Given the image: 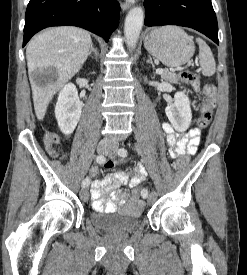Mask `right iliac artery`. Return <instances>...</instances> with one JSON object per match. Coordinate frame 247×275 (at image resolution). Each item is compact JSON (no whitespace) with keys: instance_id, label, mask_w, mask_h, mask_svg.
Listing matches in <instances>:
<instances>
[{"instance_id":"82829eb1","label":"right iliac artery","mask_w":247,"mask_h":275,"mask_svg":"<svg viewBox=\"0 0 247 275\" xmlns=\"http://www.w3.org/2000/svg\"><path fill=\"white\" fill-rule=\"evenodd\" d=\"M106 160V158L103 156V155H98L96 157V162L99 163V164H102L104 163ZM90 178H85L83 181H82V187H88V185L90 184Z\"/></svg>"}]
</instances>
